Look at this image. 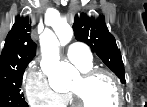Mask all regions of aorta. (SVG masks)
I'll return each instance as SVG.
<instances>
[{"label":"aorta","mask_w":147,"mask_h":107,"mask_svg":"<svg viewBox=\"0 0 147 107\" xmlns=\"http://www.w3.org/2000/svg\"><path fill=\"white\" fill-rule=\"evenodd\" d=\"M64 37L67 41L71 40L72 30L67 29ZM59 45V40L51 30H45L40 37L41 69L48 75L50 86L54 90L67 88L71 80L79 75L73 65L60 61Z\"/></svg>","instance_id":"762f6f07"}]
</instances>
